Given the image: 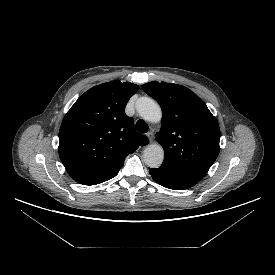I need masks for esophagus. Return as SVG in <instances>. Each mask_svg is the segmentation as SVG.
<instances>
[{
  "label": "esophagus",
  "mask_w": 275,
  "mask_h": 275,
  "mask_svg": "<svg viewBox=\"0 0 275 275\" xmlns=\"http://www.w3.org/2000/svg\"><path fill=\"white\" fill-rule=\"evenodd\" d=\"M146 136L149 139V142L151 143L153 141V138H154V133L153 132H148L146 134Z\"/></svg>",
  "instance_id": "obj_1"
}]
</instances>
